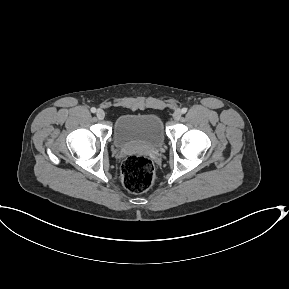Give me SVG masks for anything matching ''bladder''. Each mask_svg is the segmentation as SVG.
Here are the masks:
<instances>
[{"mask_svg":"<svg viewBox=\"0 0 289 289\" xmlns=\"http://www.w3.org/2000/svg\"><path fill=\"white\" fill-rule=\"evenodd\" d=\"M165 137L162 120L156 114H124L113 128V142L117 147L157 148L164 143Z\"/></svg>","mask_w":289,"mask_h":289,"instance_id":"1","label":"bladder"}]
</instances>
